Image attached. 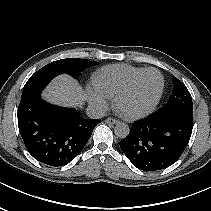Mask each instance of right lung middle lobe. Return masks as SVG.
<instances>
[{"label":"right lung middle lobe","mask_w":211,"mask_h":211,"mask_svg":"<svg viewBox=\"0 0 211 211\" xmlns=\"http://www.w3.org/2000/svg\"><path fill=\"white\" fill-rule=\"evenodd\" d=\"M97 62L80 58L61 59L49 63L35 72L24 86L21 100L40 93L45 86L57 75L67 73L77 78L84 69L96 65Z\"/></svg>","instance_id":"dd1d6c3e"}]
</instances>
